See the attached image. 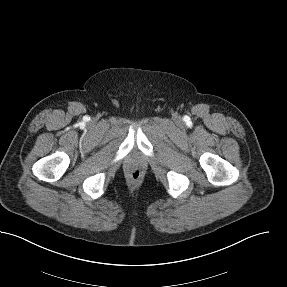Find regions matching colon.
Returning a JSON list of instances; mask_svg holds the SVG:
<instances>
[{
  "instance_id": "5ec220e1",
  "label": "colon",
  "mask_w": 287,
  "mask_h": 287,
  "mask_svg": "<svg viewBox=\"0 0 287 287\" xmlns=\"http://www.w3.org/2000/svg\"><path fill=\"white\" fill-rule=\"evenodd\" d=\"M130 174H131L132 178L138 179L140 177L141 173H140V170L133 169Z\"/></svg>"
}]
</instances>
